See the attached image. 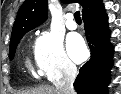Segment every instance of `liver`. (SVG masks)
I'll return each instance as SVG.
<instances>
[{
	"mask_svg": "<svg viewBox=\"0 0 121 94\" xmlns=\"http://www.w3.org/2000/svg\"><path fill=\"white\" fill-rule=\"evenodd\" d=\"M18 94H60L57 88L49 85L38 86L34 89L24 90Z\"/></svg>",
	"mask_w": 121,
	"mask_h": 94,
	"instance_id": "6515ba94",
	"label": "liver"
}]
</instances>
